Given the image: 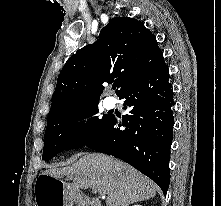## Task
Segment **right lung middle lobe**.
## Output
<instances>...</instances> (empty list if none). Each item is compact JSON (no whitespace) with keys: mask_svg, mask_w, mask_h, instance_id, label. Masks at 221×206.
<instances>
[{"mask_svg":"<svg viewBox=\"0 0 221 206\" xmlns=\"http://www.w3.org/2000/svg\"><path fill=\"white\" fill-rule=\"evenodd\" d=\"M98 113V103H84L59 109L48 115L42 159L49 160L61 151L79 148L89 142L110 120L91 117L85 124L78 120Z\"/></svg>","mask_w":221,"mask_h":206,"instance_id":"right-lung-middle-lobe-1","label":"right lung middle lobe"}]
</instances>
